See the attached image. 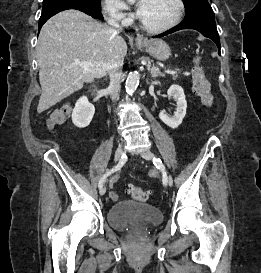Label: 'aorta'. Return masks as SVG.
<instances>
[{"label": "aorta", "instance_id": "762f6f07", "mask_svg": "<svg viewBox=\"0 0 261 273\" xmlns=\"http://www.w3.org/2000/svg\"><path fill=\"white\" fill-rule=\"evenodd\" d=\"M139 80H140V74L138 71L131 72L128 75L126 79V85H125L127 93L129 94L134 93V91L137 89V86L139 84Z\"/></svg>", "mask_w": 261, "mask_h": 273}]
</instances>
